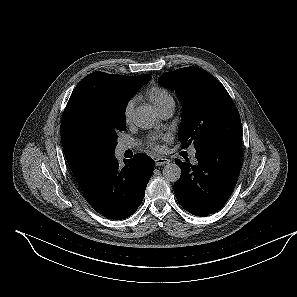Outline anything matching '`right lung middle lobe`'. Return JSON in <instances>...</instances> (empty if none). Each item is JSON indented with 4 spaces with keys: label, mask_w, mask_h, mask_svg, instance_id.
<instances>
[{
    "label": "right lung middle lobe",
    "mask_w": 297,
    "mask_h": 297,
    "mask_svg": "<svg viewBox=\"0 0 297 297\" xmlns=\"http://www.w3.org/2000/svg\"><path fill=\"white\" fill-rule=\"evenodd\" d=\"M125 129V108L115 113L85 115L78 127L83 150L99 162L114 156L118 133Z\"/></svg>",
    "instance_id": "obj_1"
}]
</instances>
